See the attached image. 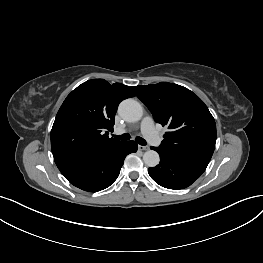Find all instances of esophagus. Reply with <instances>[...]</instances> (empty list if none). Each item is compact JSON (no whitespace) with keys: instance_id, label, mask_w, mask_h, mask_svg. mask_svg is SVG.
I'll list each match as a JSON object with an SVG mask.
<instances>
[{"instance_id":"obj_1","label":"esophagus","mask_w":263,"mask_h":263,"mask_svg":"<svg viewBox=\"0 0 263 263\" xmlns=\"http://www.w3.org/2000/svg\"><path fill=\"white\" fill-rule=\"evenodd\" d=\"M149 148L147 146L138 145L139 151H147Z\"/></svg>"}]
</instances>
